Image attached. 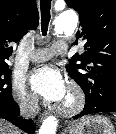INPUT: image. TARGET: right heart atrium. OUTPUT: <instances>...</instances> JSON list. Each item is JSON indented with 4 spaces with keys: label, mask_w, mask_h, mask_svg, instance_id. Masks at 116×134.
Wrapping results in <instances>:
<instances>
[{
    "label": "right heart atrium",
    "mask_w": 116,
    "mask_h": 134,
    "mask_svg": "<svg viewBox=\"0 0 116 134\" xmlns=\"http://www.w3.org/2000/svg\"><path fill=\"white\" fill-rule=\"evenodd\" d=\"M11 95L18 107L26 113H34L37 109V100L29 94L20 83H14L11 88Z\"/></svg>",
    "instance_id": "d8ad5b80"
}]
</instances>
